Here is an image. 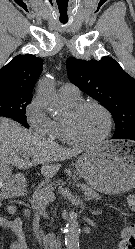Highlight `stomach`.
<instances>
[{
    "label": "stomach",
    "mask_w": 135,
    "mask_h": 249,
    "mask_svg": "<svg viewBox=\"0 0 135 249\" xmlns=\"http://www.w3.org/2000/svg\"><path fill=\"white\" fill-rule=\"evenodd\" d=\"M76 167L89 186L106 194H122L135 187V143L105 141L88 149Z\"/></svg>",
    "instance_id": "obj_1"
}]
</instances>
